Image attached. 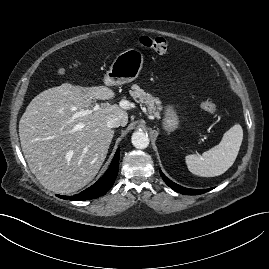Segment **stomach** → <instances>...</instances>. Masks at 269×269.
<instances>
[{
    "label": "stomach",
    "instance_id": "1",
    "mask_svg": "<svg viewBox=\"0 0 269 269\" xmlns=\"http://www.w3.org/2000/svg\"><path fill=\"white\" fill-rule=\"evenodd\" d=\"M144 63L143 53L136 48H130L120 53L113 61L104 77L108 86L121 85L135 80L140 74ZM179 124V118L172 105H167L164 111L163 128L174 131Z\"/></svg>",
    "mask_w": 269,
    "mask_h": 269
}]
</instances>
